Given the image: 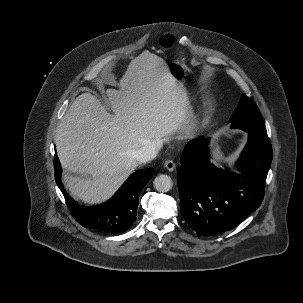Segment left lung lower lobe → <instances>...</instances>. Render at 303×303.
<instances>
[{
  "label": "left lung lower lobe",
  "instance_id": "1",
  "mask_svg": "<svg viewBox=\"0 0 303 303\" xmlns=\"http://www.w3.org/2000/svg\"><path fill=\"white\" fill-rule=\"evenodd\" d=\"M248 133L238 161L241 174L211 164L208 139L204 137L184 148L178 171L180 208L199 236L208 237L237 226L262 203L272 147L269 139Z\"/></svg>",
  "mask_w": 303,
  "mask_h": 303
}]
</instances>
